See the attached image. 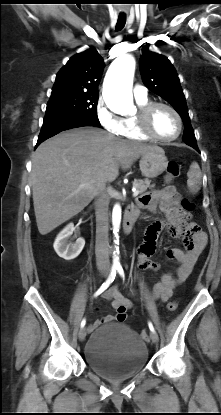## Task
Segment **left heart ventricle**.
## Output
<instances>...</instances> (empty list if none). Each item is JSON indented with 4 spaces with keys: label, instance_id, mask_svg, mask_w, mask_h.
I'll list each match as a JSON object with an SVG mask.
<instances>
[{
    "label": "left heart ventricle",
    "instance_id": "left-heart-ventricle-1",
    "mask_svg": "<svg viewBox=\"0 0 221 415\" xmlns=\"http://www.w3.org/2000/svg\"><path fill=\"white\" fill-rule=\"evenodd\" d=\"M154 132L165 138L174 136L178 130V122L175 116L164 107H157L151 118Z\"/></svg>",
    "mask_w": 221,
    "mask_h": 415
}]
</instances>
